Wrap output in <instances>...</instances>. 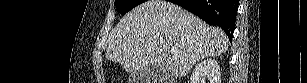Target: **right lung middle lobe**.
<instances>
[{
    "instance_id": "1",
    "label": "right lung middle lobe",
    "mask_w": 307,
    "mask_h": 83,
    "mask_svg": "<svg viewBox=\"0 0 307 83\" xmlns=\"http://www.w3.org/2000/svg\"><path fill=\"white\" fill-rule=\"evenodd\" d=\"M145 0H116L115 5L121 14H125Z\"/></svg>"
}]
</instances>
